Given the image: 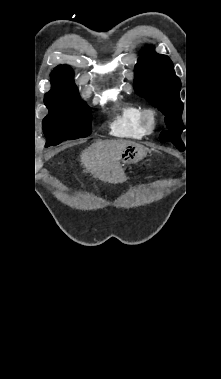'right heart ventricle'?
I'll return each mask as SVG.
<instances>
[{
    "label": "right heart ventricle",
    "instance_id": "e07e8e85",
    "mask_svg": "<svg viewBox=\"0 0 221 379\" xmlns=\"http://www.w3.org/2000/svg\"><path fill=\"white\" fill-rule=\"evenodd\" d=\"M143 112L144 110L138 106H121L109 124L111 133L133 139L144 137L147 132L142 125Z\"/></svg>",
    "mask_w": 221,
    "mask_h": 379
}]
</instances>
